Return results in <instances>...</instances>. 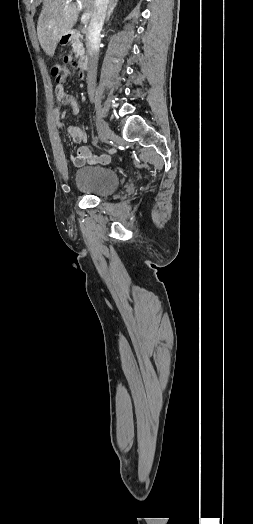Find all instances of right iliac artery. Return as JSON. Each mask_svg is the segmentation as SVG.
Returning <instances> with one entry per match:
<instances>
[{
	"mask_svg": "<svg viewBox=\"0 0 253 524\" xmlns=\"http://www.w3.org/2000/svg\"><path fill=\"white\" fill-rule=\"evenodd\" d=\"M99 141V135H96L94 138H93V144L96 145Z\"/></svg>",
	"mask_w": 253,
	"mask_h": 524,
	"instance_id": "right-iliac-artery-1",
	"label": "right iliac artery"
}]
</instances>
